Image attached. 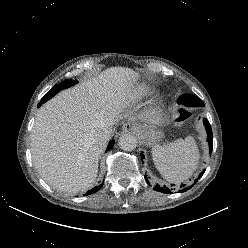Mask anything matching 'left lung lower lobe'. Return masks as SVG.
Segmentation results:
<instances>
[{"label": "left lung lower lobe", "instance_id": "obj_1", "mask_svg": "<svg viewBox=\"0 0 248 248\" xmlns=\"http://www.w3.org/2000/svg\"><path fill=\"white\" fill-rule=\"evenodd\" d=\"M203 123L206 127V131H207V134H208V137H207V141L209 143V149H210V152H212V149H213V134H212V130H211V126L208 122L207 119H203ZM142 157H144L143 154H141ZM205 170L199 175V177L195 180V183L201 178V176L204 174ZM146 179V177H145ZM146 182L149 184V181L146 179ZM174 186V184H171V187ZM193 186V185H192ZM192 186L190 187H184V185L182 184L181 185V190H179V192H185L187 191L188 189H190ZM154 190L158 191V192H162V193H172L171 190L172 189H169L167 188L165 185L163 187H160L158 184H156V186L154 187Z\"/></svg>", "mask_w": 248, "mask_h": 248}]
</instances>
